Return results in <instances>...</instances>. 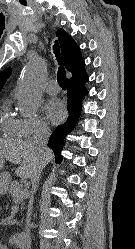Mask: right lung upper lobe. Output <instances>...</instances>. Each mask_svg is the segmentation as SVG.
<instances>
[{"label": "right lung upper lobe", "mask_w": 135, "mask_h": 249, "mask_svg": "<svg viewBox=\"0 0 135 249\" xmlns=\"http://www.w3.org/2000/svg\"><path fill=\"white\" fill-rule=\"evenodd\" d=\"M56 36L58 37L63 62L68 71L72 73V77L67 80L74 81L86 75L84 66L85 62L80 53V48L77 46L71 36L63 29H58ZM11 68H8L0 73V90L3 87L6 79L9 77Z\"/></svg>", "instance_id": "right-lung-upper-lobe-1"}]
</instances>
